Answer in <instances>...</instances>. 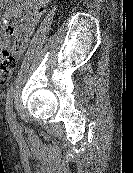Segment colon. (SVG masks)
Segmentation results:
<instances>
[{
    "label": "colon",
    "instance_id": "5ec220e1",
    "mask_svg": "<svg viewBox=\"0 0 133 173\" xmlns=\"http://www.w3.org/2000/svg\"><path fill=\"white\" fill-rule=\"evenodd\" d=\"M19 43L18 40L14 41L13 51L16 52V47ZM13 51L8 48L0 49V84H4L8 81L11 73L17 66V59Z\"/></svg>",
    "mask_w": 133,
    "mask_h": 173
}]
</instances>
